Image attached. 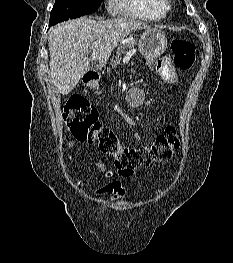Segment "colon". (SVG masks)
<instances>
[{
    "label": "colon",
    "instance_id": "obj_1",
    "mask_svg": "<svg viewBox=\"0 0 233 263\" xmlns=\"http://www.w3.org/2000/svg\"><path fill=\"white\" fill-rule=\"evenodd\" d=\"M174 64L183 71L195 62V45L186 37L172 41ZM64 121L73 136L81 141L96 143L100 150L114 157V164L122 174H130L139 167L167 161L179 147L180 139L174 126H167L149 146L122 145L116 133L99 121L98 111L83 97H73L64 108Z\"/></svg>",
    "mask_w": 233,
    "mask_h": 263
}]
</instances>
